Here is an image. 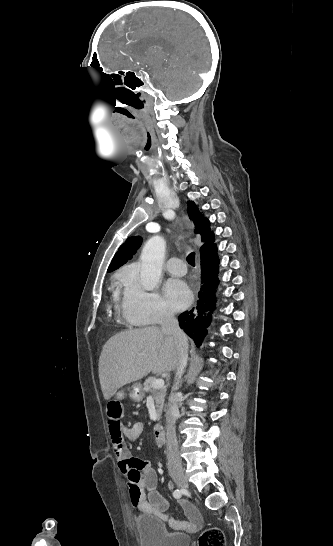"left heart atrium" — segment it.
I'll return each mask as SVG.
<instances>
[{
    "instance_id": "1",
    "label": "left heart atrium",
    "mask_w": 333,
    "mask_h": 546,
    "mask_svg": "<svg viewBox=\"0 0 333 546\" xmlns=\"http://www.w3.org/2000/svg\"><path fill=\"white\" fill-rule=\"evenodd\" d=\"M164 291L168 304L176 311L184 309L191 301V292L182 280H168Z\"/></svg>"
}]
</instances>
